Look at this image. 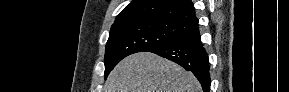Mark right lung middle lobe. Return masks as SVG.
Returning <instances> with one entry per match:
<instances>
[{"label": "right lung middle lobe", "instance_id": "right-lung-middle-lobe-1", "mask_svg": "<svg viewBox=\"0 0 289 92\" xmlns=\"http://www.w3.org/2000/svg\"><path fill=\"white\" fill-rule=\"evenodd\" d=\"M189 26L152 18L127 19L114 23L105 50V78L126 56L149 51L185 34Z\"/></svg>", "mask_w": 289, "mask_h": 92}]
</instances>
